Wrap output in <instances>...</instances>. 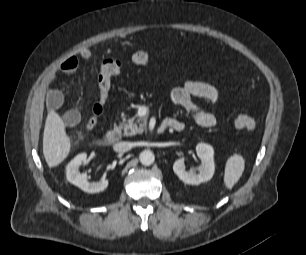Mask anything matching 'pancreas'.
Returning a JSON list of instances; mask_svg holds the SVG:
<instances>
[{"label": "pancreas", "mask_w": 306, "mask_h": 255, "mask_svg": "<svg viewBox=\"0 0 306 255\" xmlns=\"http://www.w3.org/2000/svg\"><path fill=\"white\" fill-rule=\"evenodd\" d=\"M147 126V117H138L135 115L131 118H124L123 122L119 125V129H123L125 136H132L142 133Z\"/></svg>", "instance_id": "cf45deb5"}]
</instances>
